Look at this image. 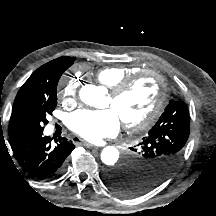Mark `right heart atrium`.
<instances>
[{
    "instance_id": "right-heart-atrium-1",
    "label": "right heart atrium",
    "mask_w": 216,
    "mask_h": 216,
    "mask_svg": "<svg viewBox=\"0 0 216 216\" xmlns=\"http://www.w3.org/2000/svg\"><path fill=\"white\" fill-rule=\"evenodd\" d=\"M78 87L79 81L77 79L72 77H64L61 81L58 92L59 99L70 103L76 102Z\"/></svg>"
}]
</instances>
